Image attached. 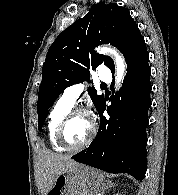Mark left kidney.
Segmentation results:
<instances>
[{
  "mask_svg": "<svg viewBox=\"0 0 178 195\" xmlns=\"http://www.w3.org/2000/svg\"><path fill=\"white\" fill-rule=\"evenodd\" d=\"M115 195H122V194H118V193H117V194H115Z\"/></svg>",
  "mask_w": 178,
  "mask_h": 195,
  "instance_id": "left-kidney-1",
  "label": "left kidney"
}]
</instances>
